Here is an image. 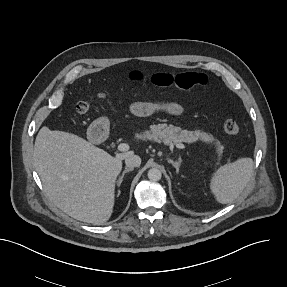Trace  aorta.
<instances>
[{
	"label": "aorta",
	"instance_id": "aorta-1",
	"mask_svg": "<svg viewBox=\"0 0 287 287\" xmlns=\"http://www.w3.org/2000/svg\"><path fill=\"white\" fill-rule=\"evenodd\" d=\"M147 175L150 181H159L161 179L162 173L158 168H151Z\"/></svg>",
	"mask_w": 287,
	"mask_h": 287
}]
</instances>
